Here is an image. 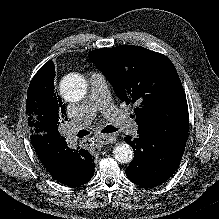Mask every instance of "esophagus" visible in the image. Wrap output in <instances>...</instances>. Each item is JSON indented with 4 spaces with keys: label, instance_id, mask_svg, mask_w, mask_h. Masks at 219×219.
<instances>
[{
    "label": "esophagus",
    "instance_id": "obj_1",
    "mask_svg": "<svg viewBox=\"0 0 219 219\" xmlns=\"http://www.w3.org/2000/svg\"><path fill=\"white\" fill-rule=\"evenodd\" d=\"M116 140L115 135H101L98 138V141L101 145H107L113 143Z\"/></svg>",
    "mask_w": 219,
    "mask_h": 219
}]
</instances>
